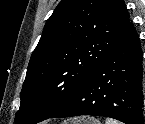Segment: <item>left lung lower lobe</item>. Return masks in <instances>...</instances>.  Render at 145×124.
Masks as SVG:
<instances>
[{
  "label": "left lung lower lobe",
  "mask_w": 145,
  "mask_h": 124,
  "mask_svg": "<svg viewBox=\"0 0 145 124\" xmlns=\"http://www.w3.org/2000/svg\"><path fill=\"white\" fill-rule=\"evenodd\" d=\"M142 60L132 23L76 95L49 118L104 116L125 124H143Z\"/></svg>",
  "instance_id": "1"
}]
</instances>
